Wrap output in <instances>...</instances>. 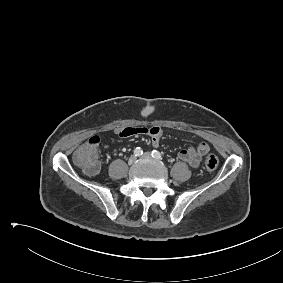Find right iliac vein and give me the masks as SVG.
Segmentation results:
<instances>
[{
    "mask_svg": "<svg viewBox=\"0 0 283 283\" xmlns=\"http://www.w3.org/2000/svg\"><path fill=\"white\" fill-rule=\"evenodd\" d=\"M136 160H137V157H136L135 155H132V156L129 158L128 163H129L130 165H132V164H134V163L136 162Z\"/></svg>",
    "mask_w": 283,
    "mask_h": 283,
    "instance_id": "right-iliac-vein-1",
    "label": "right iliac vein"
}]
</instances>
